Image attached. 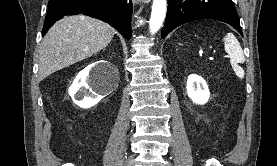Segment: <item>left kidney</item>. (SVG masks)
<instances>
[{
    "mask_svg": "<svg viewBox=\"0 0 277 166\" xmlns=\"http://www.w3.org/2000/svg\"><path fill=\"white\" fill-rule=\"evenodd\" d=\"M188 97L196 104L203 105L208 102L210 92L205 80L196 74H191L187 80Z\"/></svg>",
    "mask_w": 277,
    "mask_h": 166,
    "instance_id": "5707ae66",
    "label": "left kidney"
}]
</instances>
